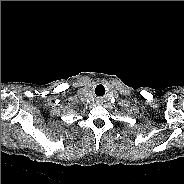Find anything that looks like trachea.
Returning <instances> with one entry per match:
<instances>
[{
	"instance_id": "trachea-1",
	"label": "trachea",
	"mask_w": 184,
	"mask_h": 184,
	"mask_svg": "<svg viewBox=\"0 0 184 184\" xmlns=\"http://www.w3.org/2000/svg\"><path fill=\"white\" fill-rule=\"evenodd\" d=\"M105 93H106V89H105L104 85L98 84L95 87V94H96V96L103 97L105 95Z\"/></svg>"
}]
</instances>
